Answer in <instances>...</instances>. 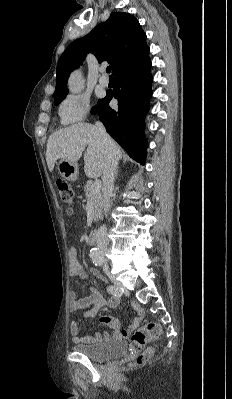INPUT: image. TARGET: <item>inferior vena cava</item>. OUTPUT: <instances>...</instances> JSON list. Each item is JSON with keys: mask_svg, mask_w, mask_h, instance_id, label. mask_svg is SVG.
Segmentation results:
<instances>
[{"mask_svg": "<svg viewBox=\"0 0 232 399\" xmlns=\"http://www.w3.org/2000/svg\"><path fill=\"white\" fill-rule=\"evenodd\" d=\"M95 128L100 134V138L103 144L108 146V154L106 158L105 170H103L102 182H103V205L104 211L107 213L109 207L110 196L113 192V184H114V176L116 174L117 166H118V158L116 156L115 150H112V140L107 134L103 124L101 122H95ZM106 231L105 225H101L96 233V243L97 248L102 249V252H107L110 249L111 241H107L106 235H104ZM106 262H109V259H106Z\"/></svg>", "mask_w": 232, "mask_h": 399, "instance_id": "602c4592", "label": "inferior vena cava"}]
</instances>
